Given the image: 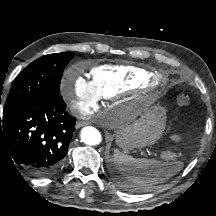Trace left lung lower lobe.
<instances>
[{"label": "left lung lower lobe", "instance_id": "obj_1", "mask_svg": "<svg viewBox=\"0 0 216 216\" xmlns=\"http://www.w3.org/2000/svg\"><path fill=\"white\" fill-rule=\"evenodd\" d=\"M115 181L119 186H121L124 189L133 190L136 188V186L133 183H131L127 179V177L122 173L115 175Z\"/></svg>", "mask_w": 216, "mask_h": 216}]
</instances>
